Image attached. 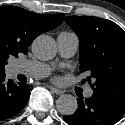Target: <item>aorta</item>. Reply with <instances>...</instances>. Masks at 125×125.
Returning a JSON list of instances; mask_svg holds the SVG:
<instances>
[{"instance_id": "1", "label": "aorta", "mask_w": 125, "mask_h": 125, "mask_svg": "<svg viewBox=\"0 0 125 125\" xmlns=\"http://www.w3.org/2000/svg\"><path fill=\"white\" fill-rule=\"evenodd\" d=\"M32 52L40 60H50L57 52L55 41L50 36L41 35L33 41ZM56 107L61 114L71 115L77 109V100L72 95H61L56 101Z\"/></svg>"}]
</instances>
